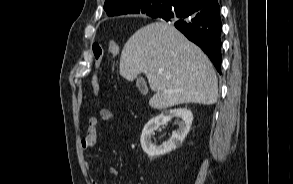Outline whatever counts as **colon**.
<instances>
[{
  "mask_svg": "<svg viewBox=\"0 0 293 184\" xmlns=\"http://www.w3.org/2000/svg\"><path fill=\"white\" fill-rule=\"evenodd\" d=\"M107 48L108 52L113 56H118L120 53V48L118 44L112 40L108 41L107 43H104L101 40H96L92 44V55L95 65V72L92 76L91 80V88L93 95H97L100 89V83H99V69L102 63L103 54L105 49Z\"/></svg>",
  "mask_w": 293,
  "mask_h": 184,
  "instance_id": "colon-1",
  "label": "colon"
}]
</instances>
